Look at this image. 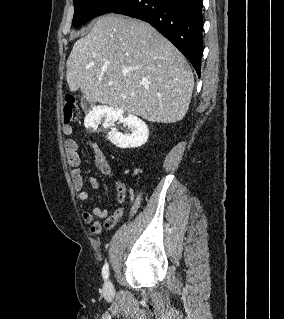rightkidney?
Listing matches in <instances>:
<instances>
[{
	"label": "right kidney",
	"mask_w": 284,
	"mask_h": 319,
	"mask_svg": "<svg viewBox=\"0 0 284 319\" xmlns=\"http://www.w3.org/2000/svg\"><path fill=\"white\" fill-rule=\"evenodd\" d=\"M104 118V127H111L108 139L119 148H137L148 140L149 130L145 122L133 114H126L123 109L110 106H97L86 115L84 125L87 129L97 130L101 119ZM119 121L128 127L125 133L119 132L114 127V122Z\"/></svg>",
	"instance_id": "right-kidney-1"
}]
</instances>
